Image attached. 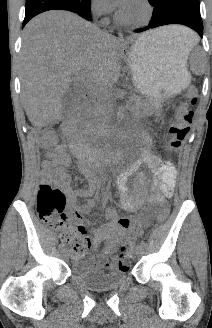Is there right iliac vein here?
Listing matches in <instances>:
<instances>
[{
	"label": "right iliac vein",
	"mask_w": 212,
	"mask_h": 328,
	"mask_svg": "<svg viewBox=\"0 0 212 328\" xmlns=\"http://www.w3.org/2000/svg\"><path fill=\"white\" fill-rule=\"evenodd\" d=\"M62 253H63V256H64L65 259H68L69 258V255L70 254H69V252L67 250H63Z\"/></svg>",
	"instance_id": "right-iliac-vein-1"
}]
</instances>
